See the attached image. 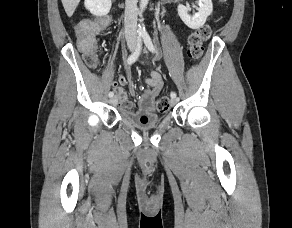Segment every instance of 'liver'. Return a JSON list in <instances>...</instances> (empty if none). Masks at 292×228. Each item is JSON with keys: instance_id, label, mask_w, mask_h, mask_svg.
I'll use <instances>...</instances> for the list:
<instances>
[{"instance_id": "1", "label": "liver", "mask_w": 292, "mask_h": 228, "mask_svg": "<svg viewBox=\"0 0 292 228\" xmlns=\"http://www.w3.org/2000/svg\"><path fill=\"white\" fill-rule=\"evenodd\" d=\"M68 17H71L77 8L80 0H61Z\"/></svg>"}]
</instances>
